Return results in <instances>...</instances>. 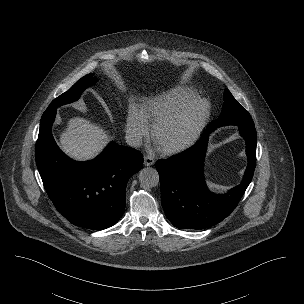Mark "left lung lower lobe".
Returning a JSON list of instances; mask_svg holds the SVG:
<instances>
[{"instance_id": "left-lung-lower-lobe-1", "label": "left lung lower lobe", "mask_w": 304, "mask_h": 304, "mask_svg": "<svg viewBox=\"0 0 304 304\" xmlns=\"http://www.w3.org/2000/svg\"><path fill=\"white\" fill-rule=\"evenodd\" d=\"M237 126L246 142L248 165L243 181L224 195L211 193L203 176L208 135L216 128H207L201 139L184 152L156 162L162 207L175 227L203 229L213 226L238 205L253 177L257 134L255 126Z\"/></svg>"}]
</instances>
